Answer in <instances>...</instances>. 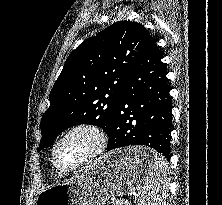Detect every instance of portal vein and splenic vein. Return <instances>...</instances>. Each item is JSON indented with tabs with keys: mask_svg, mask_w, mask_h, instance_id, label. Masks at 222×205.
<instances>
[{
	"mask_svg": "<svg viewBox=\"0 0 222 205\" xmlns=\"http://www.w3.org/2000/svg\"><path fill=\"white\" fill-rule=\"evenodd\" d=\"M140 193V189H138L137 191H133L131 192L129 195L130 196H138V194ZM123 201H125L124 199H122ZM126 203L128 202V200L125 201Z\"/></svg>",
	"mask_w": 222,
	"mask_h": 205,
	"instance_id": "obj_1",
	"label": "portal vein and splenic vein"
}]
</instances>
